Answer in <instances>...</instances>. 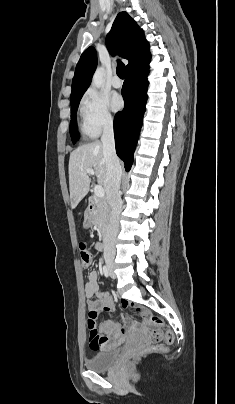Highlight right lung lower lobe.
Here are the masks:
<instances>
[{"instance_id":"right-lung-lower-lobe-1","label":"right lung lower lobe","mask_w":235,"mask_h":404,"mask_svg":"<svg viewBox=\"0 0 235 404\" xmlns=\"http://www.w3.org/2000/svg\"><path fill=\"white\" fill-rule=\"evenodd\" d=\"M149 62L141 64L126 73L122 87L125 107L114 118V137L117 155L129 171L133 163V154L142 126V118L147 101V76Z\"/></svg>"}]
</instances>
